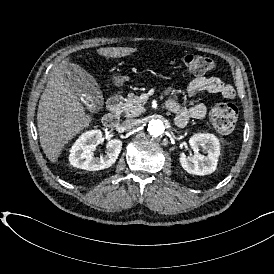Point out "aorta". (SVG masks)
<instances>
[{
    "label": "aorta",
    "mask_w": 274,
    "mask_h": 274,
    "mask_svg": "<svg viewBox=\"0 0 274 274\" xmlns=\"http://www.w3.org/2000/svg\"><path fill=\"white\" fill-rule=\"evenodd\" d=\"M165 131L164 123L160 119H152L148 124V132L152 137L161 136Z\"/></svg>",
    "instance_id": "obj_1"
}]
</instances>
